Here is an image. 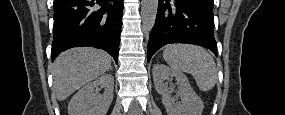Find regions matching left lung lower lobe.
I'll return each instance as SVG.
<instances>
[{"label":"left lung lower lobe","mask_w":285,"mask_h":115,"mask_svg":"<svg viewBox=\"0 0 285 115\" xmlns=\"http://www.w3.org/2000/svg\"><path fill=\"white\" fill-rule=\"evenodd\" d=\"M214 0H159L148 43V62L166 44L187 43L217 54L214 39Z\"/></svg>","instance_id":"0a47b994"}]
</instances>
